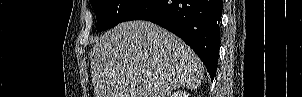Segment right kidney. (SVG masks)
<instances>
[{"instance_id":"right-kidney-1","label":"right kidney","mask_w":302,"mask_h":97,"mask_svg":"<svg viewBox=\"0 0 302 97\" xmlns=\"http://www.w3.org/2000/svg\"><path fill=\"white\" fill-rule=\"evenodd\" d=\"M171 97H188V95L185 91H177L174 92Z\"/></svg>"}]
</instances>
